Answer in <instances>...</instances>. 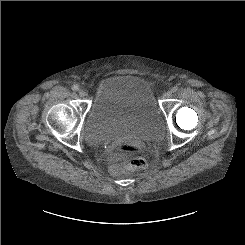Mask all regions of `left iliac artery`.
I'll return each instance as SVG.
<instances>
[{"label": "left iliac artery", "instance_id": "obj_1", "mask_svg": "<svg viewBox=\"0 0 245 245\" xmlns=\"http://www.w3.org/2000/svg\"><path fill=\"white\" fill-rule=\"evenodd\" d=\"M177 91H178V87H177V86H174V87L172 88V92L175 93V92H177Z\"/></svg>", "mask_w": 245, "mask_h": 245}]
</instances>
